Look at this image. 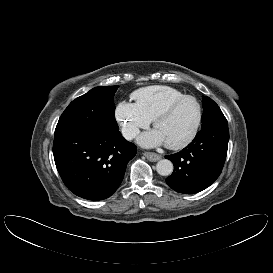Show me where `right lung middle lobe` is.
Segmentation results:
<instances>
[{
  "label": "right lung middle lobe",
  "mask_w": 273,
  "mask_h": 273,
  "mask_svg": "<svg viewBox=\"0 0 273 273\" xmlns=\"http://www.w3.org/2000/svg\"><path fill=\"white\" fill-rule=\"evenodd\" d=\"M117 89L118 86L96 87L73 100L62 113L55 133L82 128L118 131L114 115Z\"/></svg>",
  "instance_id": "right-lung-middle-lobe-1"
}]
</instances>
